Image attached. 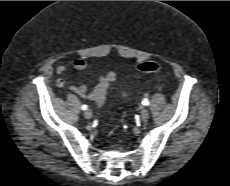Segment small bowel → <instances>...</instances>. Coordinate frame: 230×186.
<instances>
[{
	"mask_svg": "<svg viewBox=\"0 0 230 186\" xmlns=\"http://www.w3.org/2000/svg\"><path fill=\"white\" fill-rule=\"evenodd\" d=\"M89 66H90L89 63L83 59H77L73 63V67L76 70H86L89 68ZM67 69L68 67L66 65H60L56 68L55 73L57 75H62L67 71ZM107 75L98 77L96 85L91 90L88 89V87L83 84H77L64 78H58L56 81V85L59 88L66 87L68 90L77 94L78 96L84 99L94 101L99 105V100L101 98L104 99L106 98L108 87L112 82L108 79Z\"/></svg>",
	"mask_w": 230,
	"mask_h": 186,
	"instance_id": "small-bowel-1",
	"label": "small bowel"
}]
</instances>
